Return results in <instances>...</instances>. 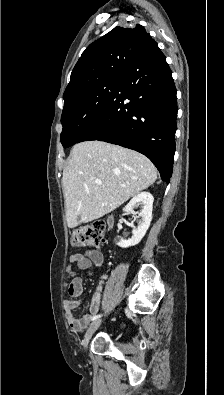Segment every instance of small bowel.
Masks as SVG:
<instances>
[{
    "label": "small bowel",
    "instance_id": "obj_1",
    "mask_svg": "<svg viewBox=\"0 0 224 395\" xmlns=\"http://www.w3.org/2000/svg\"><path fill=\"white\" fill-rule=\"evenodd\" d=\"M103 254L99 250H88L86 254H73L69 258V264L67 271L71 278L70 283L67 287V293L73 298V300H67L64 303V309L68 324L74 331H83L91 321L93 315H95L100 306L101 293L103 291L105 278L97 286L96 292L92 298L89 306V312L81 318L74 316L75 309L80 305L83 299V279L84 275H77V270L87 271L92 266L100 267L103 264ZM86 275H92V272H88Z\"/></svg>",
    "mask_w": 224,
    "mask_h": 395
}]
</instances>
